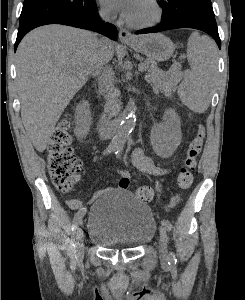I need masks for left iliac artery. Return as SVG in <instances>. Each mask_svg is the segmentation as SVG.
Listing matches in <instances>:
<instances>
[{
	"mask_svg": "<svg viewBox=\"0 0 245 300\" xmlns=\"http://www.w3.org/2000/svg\"><path fill=\"white\" fill-rule=\"evenodd\" d=\"M121 152V148H117L116 149V154H119ZM158 186V185H157ZM159 188V187H158ZM159 190V189H158ZM159 193V192H158ZM162 225L165 227V229L167 231H171L172 229V224L169 220L163 219L162 220ZM177 259L175 257V254L173 252L170 253V257H169V264L174 265L176 264Z\"/></svg>",
	"mask_w": 245,
	"mask_h": 300,
	"instance_id": "1",
	"label": "left iliac artery"
}]
</instances>
